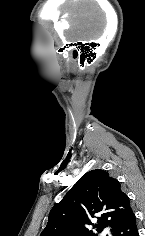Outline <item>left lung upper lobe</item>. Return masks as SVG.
<instances>
[{"label":"left lung upper lobe","instance_id":"1","mask_svg":"<svg viewBox=\"0 0 145 236\" xmlns=\"http://www.w3.org/2000/svg\"><path fill=\"white\" fill-rule=\"evenodd\" d=\"M132 211L128 196L120 183L106 171L95 169L85 173L56 204L40 236H98L97 232L109 226L111 232ZM98 215L94 225L89 216Z\"/></svg>","mask_w":145,"mask_h":236}]
</instances>
